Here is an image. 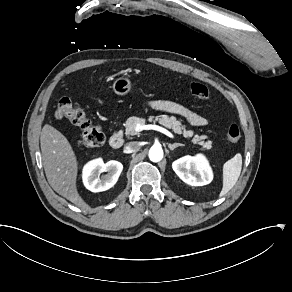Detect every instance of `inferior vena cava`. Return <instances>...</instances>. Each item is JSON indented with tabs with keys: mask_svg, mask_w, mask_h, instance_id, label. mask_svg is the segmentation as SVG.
Returning a JSON list of instances; mask_svg holds the SVG:
<instances>
[{
	"mask_svg": "<svg viewBox=\"0 0 292 292\" xmlns=\"http://www.w3.org/2000/svg\"><path fill=\"white\" fill-rule=\"evenodd\" d=\"M139 149H140L139 143L135 141L127 143L124 147L125 153H133L138 151Z\"/></svg>",
	"mask_w": 292,
	"mask_h": 292,
	"instance_id": "obj_1",
	"label": "inferior vena cava"
}]
</instances>
